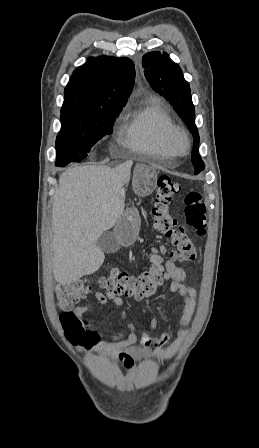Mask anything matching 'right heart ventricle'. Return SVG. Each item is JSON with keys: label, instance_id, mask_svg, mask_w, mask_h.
Here are the masks:
<instances>
[{"label": "right heart ventricle", "instance_id": "1", "mask_svg": "<svg viewBox=\"0 0 259 448\" xmlns=\"http://www.w3.org/2000/svg\"><path fill=\"white\" fill-rule=\"evenodd\" d=\"M173 125L171 116L163 109L158 100L153 99V105L147 106L143 99L128 105L119 118L120 133L125 144L138 151L166 150L164 135ZM138 153L134 156V163H142Z\"/></svg>", "mask_w": 259, "mask_h": 448}]
</instances>
